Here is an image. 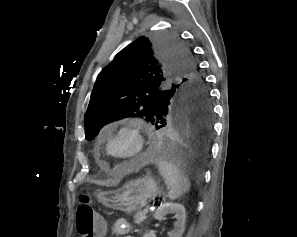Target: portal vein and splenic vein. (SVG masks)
I'll list each match as a JSON object with an SVG mask.
<instances>
[{"instance_id": "obj_1", "label": "portal vein and splenic vein", "mask_w": 297, "mask_h": 237, "mask_svg": "<svg viewBox=\"0 0 297 237\" xmlns=\"http://www.w3.org/2000/svg\"><path fill=\"white\" fill-rule=\"evenodd\" d=\"M149 210V208H145L144 213H147Z\"/></svg>"}]
</instances>
